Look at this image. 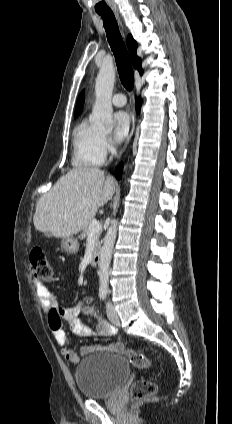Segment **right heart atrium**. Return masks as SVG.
<instances>
[{
	"label": "right heart atrium",
	"instance_id": "right-heart-atrium-1",
	"mask_svg": "<svg viewBox=\"0 0 232 424\" xmlns=\"http://www.w3.org/2000/svg\"><path fill=\"white\" fill-rule=\"evenodd\" d=\"M103 147H104L105 152L112 151V148H113L112 147V141H111L110 137L107 136V135L103 136Z\"/></svg>",
	"mask_w": 232,
	"mask_h": 424
}]
</instances>
